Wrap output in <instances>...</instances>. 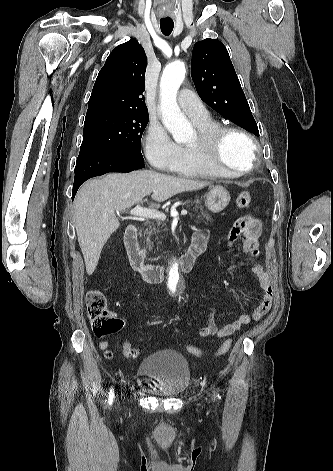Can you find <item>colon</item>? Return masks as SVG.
<instances>
[{
    "instance_id": "colon-1",
    "label": "colon",
    "mask_w": 333,
    "mask_h": 471,
    "mask_svg": "<svg viewBox=\"0 0 333 471\" xmlns=\"http://www.w3.org/2000/svg\"><path fill=\"white\" fill-rule=\"evenodd\" d=\"M250 201L251 196L249 192L243 191L237 197L236 204L239 208H246L250 204ZM86 309L92 329L98 337L115 333L123 327V320L109 311L105 295L98 290H92L87 293ZM231 344V339H227L213 355L221 356L225 354L230 349ZM186 349L195 356H203L205 354L201 349L194 345L188 344L186 345ZM122 352L123 355L129 359H134L138 355V350L135 349L130 342H125L123 344Z\"/></svg>"
}]
</instances>
